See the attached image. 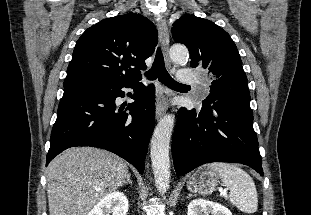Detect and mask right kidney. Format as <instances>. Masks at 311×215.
Here are the masks:
<instances>
[{
  "label": "right kidney",
  "mask_w": 311,
  "mask_h": 215,
  "mask_svg": "<svg viewBox=\"0 0 311 215\" xmlns=\"http://www.w3.org/2000/svg\"><path fill=\"white\" fill-rule=\"evenodd\" d=\"M129 204L127 197L119 191L111 192L103 197L88 213V215H126Z\"/></svg>",
  "instance_id": "ca27d5eb"
}]
</instances>
